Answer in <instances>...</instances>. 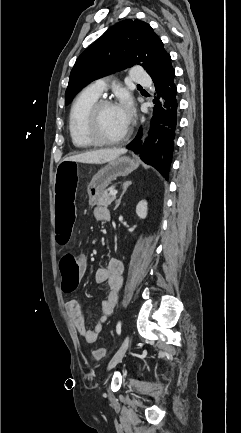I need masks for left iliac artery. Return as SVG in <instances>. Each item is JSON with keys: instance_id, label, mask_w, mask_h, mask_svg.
Wrapping results in <instances>:
<instances>
[{"instance_id": "obj_1", "label": "left iliac artery", "mask_w": 241, "mask_h": 433, "mask_svg": "<svg viewBox=\"0 0 241 433\" xmlns=\"http://www.w3.org/2000/svg\"><path fill=\"white\" fill-rule=\"evenodd\" d=\"M121 325H122V323H121V321H119L117 323V326H116V332H117L118 335L121 334Z\"/></svg>"}]
</instances>
